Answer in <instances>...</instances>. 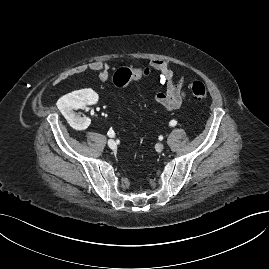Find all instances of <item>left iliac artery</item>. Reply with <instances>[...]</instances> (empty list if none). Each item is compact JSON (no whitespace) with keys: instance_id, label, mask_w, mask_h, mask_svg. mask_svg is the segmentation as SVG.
Listing matches in <instances>:
<instances>
[{"instance_id":"obj_1","label":"left iliac artery","mask_w":269,"mask_h":269,"mask_svg":"<svg viewBox=\"0 0 269 269\" xmlns=\"http://www.w3.org/2000/svg\"><path fill=\"white\" fill-rule=\"evenodd\" d=\"M176 124H177V121L176 120H171L170 122H169V125L170 126H176Z\"/></svg>"}]
</instances>
